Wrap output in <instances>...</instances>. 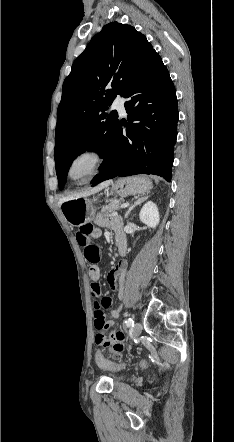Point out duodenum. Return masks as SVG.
<instances>
[{
	"label": "duodenum",
	"instance_id": "obj_1",
	"mask_svg": "<svg viewBox=\"0 0 234 442\" xmlns=\"http://www.w3.org/2000/svg\"><path fill=\"white\" fill-rule=\"evenodd\" d=\"M116 247L119 252H122L124 249V241L121 238H117Z\"/></svg>",
	"mask_w": 234,
	"mask_h": 442
}]
</instances>
